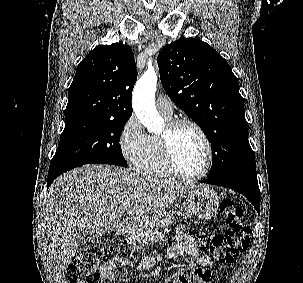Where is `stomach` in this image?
I'll use <instances>...</instances> for the list:
<instances>
[{
	"label": "stomach",
	"mask_w": 303,
	"mask_h": 283,
	"mask_svg": "<svg viewBox=\"0 0 303 283\" xmlns=\"http://www.w3.org/2000/svg\"><path fill=\"white\" fill-rule=\"evenodd\" d=\"M220 201L221 199L215 191L201 186L188 192L186 201L182 202L177 213L183 218H190L195 215L200 219H211L216 215ZM171 220L172 214L165 211L151 218L141 220L139 226L144 229L151 227L158 230L170 225Z\"/></svg>",
	"instance_id": "0dacf381"
}]
</instances>
